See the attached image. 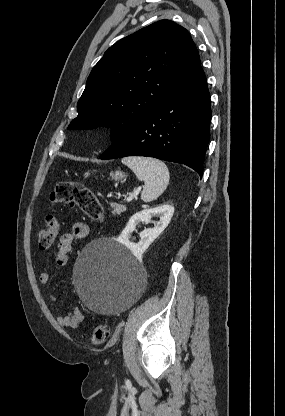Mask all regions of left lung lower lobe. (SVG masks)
<instances>
[{
  "instance_id": "1",
  "label": "left lung lower lobe",
  "mask_w": 285,
  "mask_h": 416,
  "mask_svg": "<svg viewBox=\"0 0 285 416\" xmlns=\"http://www.w3.org/2000/svg\"><path fill=\"white\" fill-rule=\"evenodd\" d=\"M210 120V94L200 66L187 83L115 140L99 158L154 157L185 164L202 177Z\"/></svg>"
}]
</instances>
